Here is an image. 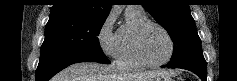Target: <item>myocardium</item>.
I'll return each mask as SVG.
<instances>
[{"mask_svg":"<svg viewBox=\"0 0 237 81\" xmlns=\"http://www.w3.org/2000/svg\"><path fill=\"white\" fill-rule=\"evenodd\" d=\"M150 27H156V28L160 29L169 41L170 51H169V54H168L167 58L164 59L163 61L150 62L143 55L142 39H143V36H144L146 30ZM133 51H134V54H135L136 58L139 60V62L143 66L151 67V68H157V67L164 66V65H166L167 63L170 62V60L172 59V57L174 55V52H175V43H174V40H173L171 34L161 24H159L157 22H154V21H147V22L143 23L142 25H140L139 27H137L134 31V34H133Z\"/></svg>","mask_w":237,"mask_h":81,"instance_id":"f54148a6","label":"myocardium"}]
</instances>
